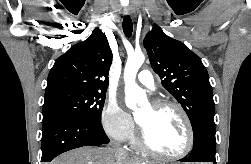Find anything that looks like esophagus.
I'll use <instances>...</instances> for the list:
<instances>
[{
    "mask_svg": "<svg viewBox=\"0 0 251 164\" xmlns=\"http://www.w3.org/2000/svg\"><path fill=\"white\" fill-rule=\"evenodd\" d=\"M124 13H125L126 15H131V14H132L131 8H130V7H126V8L124 9Z\"/></svg>",
    "mask_w": 251,
    "mask_h": 164,
    "instance_id": "esophagus-1",
    "label": "esophagus"
}]
</instances>
